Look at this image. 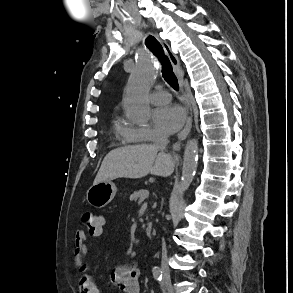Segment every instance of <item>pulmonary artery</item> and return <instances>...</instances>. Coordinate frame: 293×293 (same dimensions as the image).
<instances>
[{
  "instance_id": "1",
  "label": "pulmonary artery",
  "mask_w": 293,
  "mask_h": 293,
  "mask_svg": "<svg viewBox=\"0 0 293 293\" xmlns=\"http://www.w3.org/2000/svg\"><path fill=\"white\" fill-rule=\"evenodd\" d=\"M149 99L154 104H165L171 100V95L162 89H158L149 95Z\"/></svg>"
}]
</instances>
